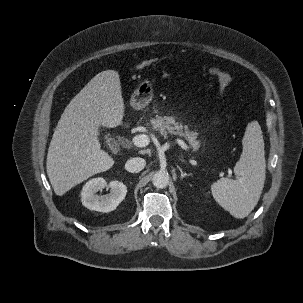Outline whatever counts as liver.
Segmentation results:
<instances>
[{
  "instance_id": "1",
  "label": "liver",
  "mask_w": 303,
  "mask_h": 303,
  "mask_svg": "<svg viewBox=\"0 0 303 303\" xmlns=\"http://www.w3.org/2000/svg\"><path fill=\"white\" fill-rule=\"evenodd\" d=\"M124 109L119 74L114 70L98 73L70 101L47 154V175L56 195L63 196L89 177L112 168L115 161L101 149L98 129L121 125Z\"/></svg>"
}]
</instances>
